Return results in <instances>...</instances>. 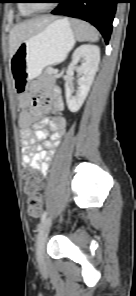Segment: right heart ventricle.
<instances>
[{"instance_id": "right-heart-ventricle-1", "label": "right heart ventricle", "mask_w": 136, "mask_h": 296, "mask_svg": "<svg viewBox=\"0 0 136 296\" xmlns=\"http://www.w3.org/2000/svg\"><path fill=\"white\" fill-rule=\"evenodd\" d=\"M19 10L23 16H31L33 11L29 10L25 3L20 4Z\"/></svg>"}]
</instances>
